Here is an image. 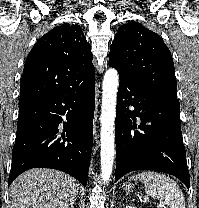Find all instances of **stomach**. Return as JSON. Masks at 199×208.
Masks as SVG:
<instances>
[{
    "instance_id": "0dacf381",
    "label": "stomach",
    "mask_w": 199,
    "mask_h": 208,
    "mask_svg": "<svg viewBox=\"0 0 199 208\" xmlns=\"http://www.w3.org/2000/svg\"><path fill=\"white\" fill-rule=\"evenodd\" d=\"M123 187H124V190H125L126 192H129V191H131V189H132V185H131L130 183L124 184Z\"/></svg>"
}]
</instances>
